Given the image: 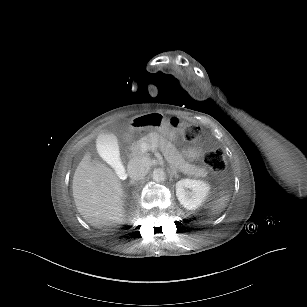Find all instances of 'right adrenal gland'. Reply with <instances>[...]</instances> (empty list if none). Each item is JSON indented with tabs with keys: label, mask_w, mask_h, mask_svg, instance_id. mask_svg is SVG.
Listing matches in <instances>:
<instances>
[{
	"label": "right adrenal gland",
	"mask_w": 307,
	"mask_h": 307,
	"mask_svg": "<svg viewBox=\"0 0 307 307\" xmlns=\"http://www.w3.org/2000/svg\"><path fill=\"white\" fill-rule=\"evenodd\" d=\"M136 183L134 181H131L130 186L135 185Z\"/></svg>",
	"instance_id": "2a0ac1e0"
}]
</instances>
